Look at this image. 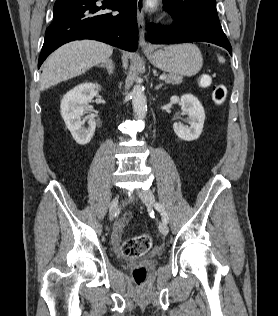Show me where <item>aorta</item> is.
Instances as JSON below:
<instances>
[{
	"label": "aorta",
	"instance_id": "aorta-1",
	"mask_svg": "<svg viewBox=\"0 0 278 316\" xmlns=\"http://www.w3.org/2000/svg\"><path fill=\"white\" fill-rule=\"evenodd\" d=\"M132 106L135 116L144 119L147 114V100L140 85H135L131 92Z\"/></svg>",
	"mask_w": 278,
	"mask_h": 316
}]
</instances>
